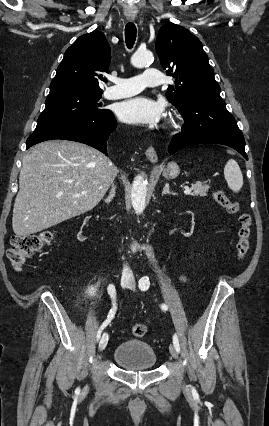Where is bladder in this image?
Listing matches in <instances>:
<instances>
[{"instance_id": "1", "label": "bladder", "mask_w": 269, "mask_h": 426, "mask_svg": "<svg viewBox=\"0 0 269 426\" xmlns=\"http://www.w3.org/2000/svg\"><path fill=\"white\" fill-rule=\"evenodd\" d=\"M112 358L125 371H150L157 364L154 350L146 342L137 339L120 342L115 347Z\"/></svg>"}]
</instances>
